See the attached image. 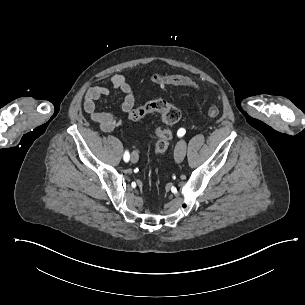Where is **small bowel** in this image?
I'll use <instances>...</instances> for the list:
<instances>
[{
  "instance_id": "obj_1",
  "label": "small bowel",
  "mask_w": 305,
  "mask_h": 305,
  "mask_svg": "<svg viewBox=\"0 0 305 305\" xmlns=\"http://www.w3.org/2000/svg\"><path fill=\"white\" fill-rule=\"evenodd\" d=\"M109 82L112 89L123 93L124 98L120 109L124 114H129L135 106V95L131 86L125 78L120 74H112L109 76ZM110 90L106 86H95L90 88L84 97L83 108L90 116V119L98 124L103 132H111L115 129L117 122L113 115L107 112L97 111V102L107 96Z\"/></svg>"
}]
</instances>
